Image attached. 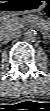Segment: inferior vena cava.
I'll use <instances>...</instances> for the list:
<instances>
[{
  "label": "inferior vena cava",
  "instance_id": "602c4592",
  "mask_svg": "<svg viewBox=\"0 0 50 111\" xmlns=\"http://www.w3.org/2000/svg\"><path fill=\"white\" fill-rule=\"evenodd\" d=\"M18 37H20V32L14 31V30H9L1 34V38L7 41L18 38Z\"/></svg>",
  "mask_w": 50,
  "mask_h": 111
}]
</instances>
